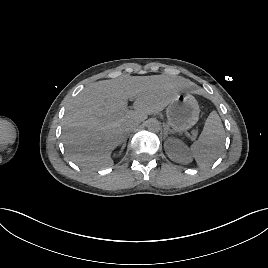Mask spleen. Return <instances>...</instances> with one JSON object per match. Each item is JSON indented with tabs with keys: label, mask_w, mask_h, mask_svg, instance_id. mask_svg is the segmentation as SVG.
<instances>
[{
	"label": "spleen",
	"mask_w": 268,
	"mask_h": 268,
	"mask_svg": "<svg viewBox=\"0 0 268 268\" xmlns=\"http://www.w3.org/2000/svg\"><path fill=\"white\" fill-rule=\"evenodd\" d=\"M224 134L220 116L216 111H212L198 140L190 147L199 167H208L217 158L224 142Z\"/></svg>",
	"instance_id": "spleen-1"
}]
</instances>
